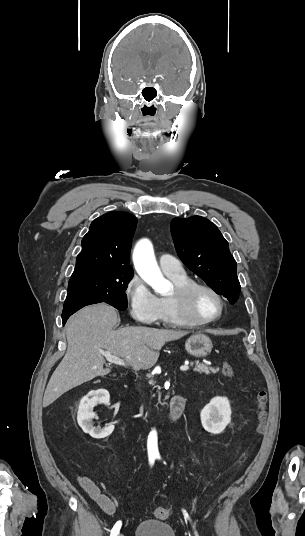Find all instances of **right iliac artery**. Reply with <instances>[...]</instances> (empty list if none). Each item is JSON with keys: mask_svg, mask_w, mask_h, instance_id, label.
Returning a JSON list of instances; mask_svg holds the SVG:
<instances>
[{"mask_svg": "<svg viewBox=\"0 0 305 536\" xmlns=\"http://www.w3.org/2000/svg\"><path fill=\"white\" fill-rule=\"evenodd\" d=\"M154 461H155V456L154 455L149 456V463L151 466L154 464ZM121 525H122L121 521H117L111 530L110 536H117L119 534Z\"/></svg>", "mask_w": 305, "mask_h": 536, "instance_id": "1", "label": "right iliac artery"}]
</instances>
